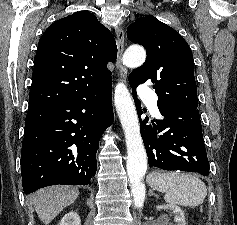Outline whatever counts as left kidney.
Segmentation results:
<instances>
[{
  "instance_id": "5707ae66",
  "label": "left kidney",
  "mask_w": 237,
  "mask_h": 225,
  "mask_svg": "<svg viewBox=\"0 0 237 225\" xmlns=\"http://www.w3.org/2000/svg\"><path fill=\"white\" fill-rule=\"evenodd\" d=\"M156 209L171 210L172 213L174 214L175 225H186L184 212L181 210L179 206L173 204H167L164 206L163 205L156 206Z\"/></svg>"
}]
</instances>
